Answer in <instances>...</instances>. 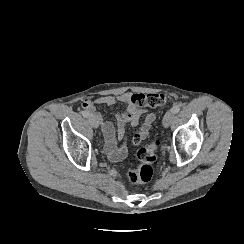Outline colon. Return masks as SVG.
Returning a JSON list of instances; mask_svg holds the SVG:
<instances>
[{"label": "colon", "instance_id": "5ec220e1", "mask_svg": "<svg viewBox=\"0 0 244 244\" xmlns=\"http://www.w3.org/2000/svg\"><path fill=\"white\" fill-rule=\"evenodd\" d=\"M168 96L162 92L137 93L132 95L131 102L138 108H157L168 103ZM134 145L142 141L140 133L131 137ZM158 139H151L138 151L137 168H127V178L131 183H143L153 175V164L156 160V150L159 147Z\"/></svg>", "mask_w": 244, "mask_h": 244}]
</instances>
